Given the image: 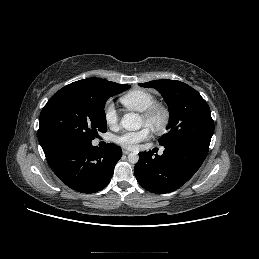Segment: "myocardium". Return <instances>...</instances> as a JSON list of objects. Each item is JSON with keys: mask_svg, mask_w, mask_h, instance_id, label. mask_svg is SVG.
Wrapping results in <instances>:
<instances>
[{"mask_svg": "<svg viewBox=\"0 0 259 259\" xmlns=\"http://www.w3.org/2000/svg\"><path fill=\"white\" fill-rule=\"evenodd\" d=\"M142 118L153 132L159 134L166 130L170 122V111L168 107L160 102H154L141 112Z\"/></svg>", "mask_w": 259, "mask_h": 259, "instance_id": "obj_1", "label": "myocardium"}]
</instances>
